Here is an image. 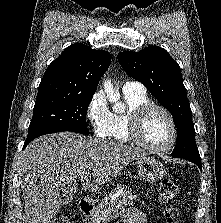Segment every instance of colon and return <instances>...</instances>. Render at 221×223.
<instances>
[{
	"label": "colon",
	"mask_w": 221,
	"mask_h": 223,
	"mask_svg": "<svg viewBox=\"0 0 221 223\" xmlns=\"http://www.w3.org/2000/svg\"><path fill=\"white\" fill-rule=\"evenodd\" d=\"M178 193V189L174 181L165 177L161 180L159 186V197L164 203L171 202ZM164 217L166 223H179L178 210L176 207L168 205L164 210ZM57 223H70V219L66 216H62L58 219Z\"/></svg>",
	"instance_id": "1"
}]
</instances>
